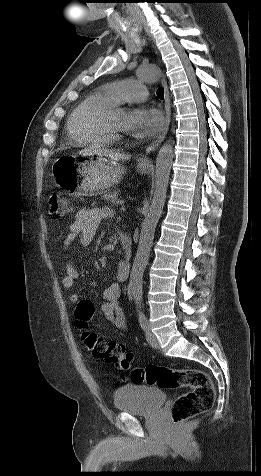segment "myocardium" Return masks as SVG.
<instances>
[{
  "label": "myocardium",
  "mask_w": 261,
  "mask_h": 476,
  "mask_svg": "<svg viewBox=\"0 0 261 476\" xmlns=\"http://www.w3.org/2000/svg\"><path fill=\"white\" fill-rule=\"evenodd\" d=\"M117 106H114L110 110H108L104 116L102 117L101 120V125L102 128L105 132H107L109 135L112 137H122L124 135V132L120 129H118L114 124H113V115L117 111Z\"/></svg>",
  "instance_id": "1"
}]
</instances>
